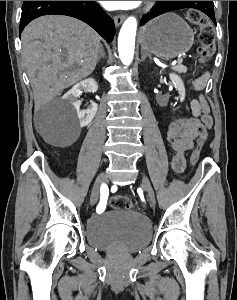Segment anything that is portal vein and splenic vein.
<instances>
[{
    "instance_id": "obj_1",
    "label": "portal vein and splenic vein",
    "mask_w": 237,
    "mask_h": 300,
    "mask_svg": "<svg viewBox=\"0 0 237 300\" xmlns=\"http://www.w3.org/2000/svg\"><path fill=\"white\" fill-rule=\"evenodd\" d=\"M177 60H178L177 66L181 67L183 65V61H182L183 59L181 57H179Z\"/></svg>"
}]
</instances>
